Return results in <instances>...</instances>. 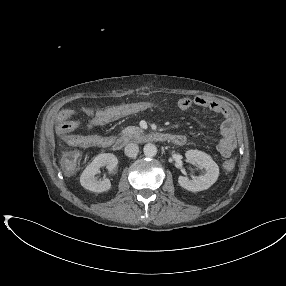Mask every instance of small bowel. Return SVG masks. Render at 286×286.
Returning a JSON list of instances; mask_svg holds the SVG:
<instances>
[{"instance_id":"small-bowel-1","label":"small bowel","mask_w":286,"mask_h":286,"mask_svg":"<svg viewBox=\"0 0 286 286\" xmlns=\"http://www.w3.org/2000/svg\"><path fill=\"white\" fill-rule=\"evenodd\" d=\"M177 104L181 110H187L192 106H196L208 109L213 113L221 115L224 119L221 125L222 138L217 145V149L225 158L232 154L236 147L235 123L231 116V112L226 105L202 96H197L194 98L184 97L179 99ZM151 106L152 105L150 103L142 102L114 106L105 110H98L93 106L83 105L81 107V112L89 117V122L87 124L88 128H94L121 117L146 110ZM107 110H112V114L109 117L104 115ZM56 120L58 122L59 136L71 146L78 148H106L109 147L114 140L113 136L73 134L72 132L77 128L79 123L76 120L75 113L70 110H61L58 112Z\"/></svg>"}]
</instances>
